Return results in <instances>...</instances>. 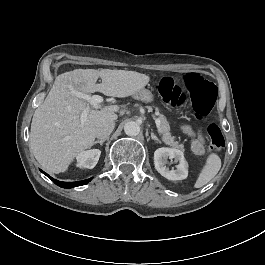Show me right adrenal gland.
<instances>
[{"mask_svg": "<svg viewBox=\"0 0 265 265\" xmlns=\"http://www.w3.org/2000/svg\"><path fill=\"white\" fill-rule=\"evenodd\" d=\"M109 138H107V139H100V140H97V141H95L94 143H93V145H96V144H100V145H102L103 143H104V141H106V140H108Z\"/></svg>", "mask_w": 265, "mask_h": 265, "instance_id": "2a0ac1e0", "label": "right adrenal gland"}]
</instances>
